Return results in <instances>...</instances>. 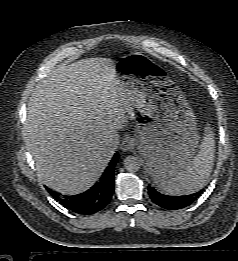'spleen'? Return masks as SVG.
Returning <instances> with one entry per match:
<instances>
[{
  "instance_id": "3e777b00",
  "label": "spleen",
  "mask_w": 238,
  "mask_h": 261,
  "mask_svg": "<svg viewBox=\"0 0 238 261\" xmlns=\"http://www.w3.org/2000/svg\"><path fill=\"white\" fill-rule=\"evenodd\" d=\"M215 140L212 128L207 125L205 136L198 154L188 163L176 177L160 184L162 190L170 195H188L202 189L214 164Z\"/></svg>"
}]
</instances>
